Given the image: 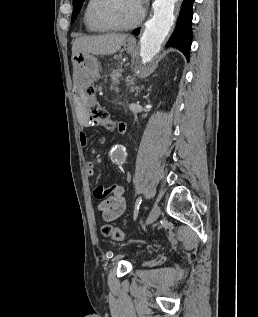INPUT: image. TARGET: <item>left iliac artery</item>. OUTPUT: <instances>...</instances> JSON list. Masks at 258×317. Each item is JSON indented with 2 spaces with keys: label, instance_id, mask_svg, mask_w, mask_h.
Masks as SVG:
<instances>
[{
  "label": "left iliac artery",
  "instance_id": "left-iliac-artery-1",
  "mask_svg": "<svg viewBox=\"0 0 258 317\" xmlns=\"http://www.w3.org/2000/svg\"><path fill=\"white\" fill-rule=\"evenodd\" d=\"M141 203H142V197H139V198L136 200L135 207H134V214H133V219H134V221H135V220L137 219V217H138L139 208H140Z\"/></svg>",
  "mask_w": 258,
  "mask_h": 317
}]
</instances>
